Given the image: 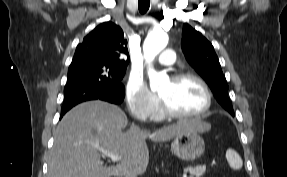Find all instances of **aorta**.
I'll return each instance as SVG.
<instances>
[{
  "label": "aorta",
  "mask_w": 287,
  "mask_h": 177,
  "mask_svg": "<svg viewBox=\"0 0 287 177\" xmlns=\"http://www.w3.org/2000/svg\"><path fill=\"white\" fill-rule=\"evenodd\" d=\"M168 44V35L163 31H153L148 34L143 45V52L146 62L149 64L148 75L150 80V88L156 91L159 87L168 81L165 73H158L152 67L151 62L157 54H159Z\"/></svg>",
  "instance_id": "aorta-1"
}]
</instances>
